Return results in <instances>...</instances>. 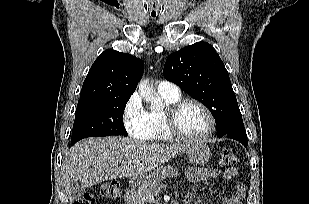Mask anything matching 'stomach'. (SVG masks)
<instances>
[{
	"mask_svg": "<svg viewBox=\"0 0 309 204\" xmlns=\"http://www.w3.org/2000/svg\"><path fill=\"white\" fill-rule=\"evenodd\" d=\"M187 156L191 164L202 165L209 160L211 156V150L203 142H195L188 147ZM144 178L145 177L143 176L137 177V183L141 182Z\"/></svg>",
	"mask_w": 309,
	"mask_h": 204,
	"instance_id": "obj_1",
	"label": "stomach"
}]
</instances>
